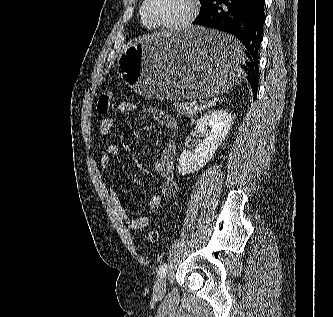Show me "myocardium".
<instances>
[{"mask_svg":"<svg viewBox=\"0 0 333 317\" xmlns=\"http://www.w3.org/2000/svg\"><path fill=\"white\" fill-rule=\"evenodd\" d=\"M150 0H144L141 6V14L145 21L152 27L158 29H166L172 31H179L187 28L197 17L199 11V1L198 0H187L188 11L183 18L172 23H162L155 21L149 17L148 14V4Z\"/></svg>","mask_w":333,"mask_h":317,"instance_id":"f54148a6","label":"myocardium"}]
</instances>
